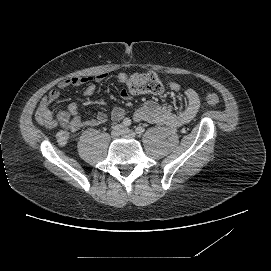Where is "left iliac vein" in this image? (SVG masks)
Instances as JSON below:
<instances>
[{"mask_svg":"<svg viewBox=\"0 0 271 271\" xmlns=\"http://www.w3.org/2000/svg\"><path fill=\"white\" fill-rule=\"evenodd\" d=\"M122 135L127 138H135L136 137V133L128 128H123Z\"/></svg>","mask_w":271,"mask_h":271,"instance_id":"obj_1","label":"left iliac vein"}]
</instances>
